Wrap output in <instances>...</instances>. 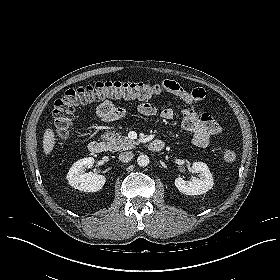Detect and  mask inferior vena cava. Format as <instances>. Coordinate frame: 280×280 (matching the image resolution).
<instances>
[{
  "mask_svg": "<svg viewBox=\"0 0 280 280\" xmlns=\"http://www.w3.org/2000/svg\"><path fill=\"white\" fill-rule=\"evenodd\" d=\"M134 154L131 151L122 152L119 155V160L121 162L127 163L133 159Z\"/></svg>",
  "mask_w": 280,
  "mask_h": 280,
  "instance_id": "inferior-vena-cava-1",
  "label": "inferior vena cava"
}]
</instances>
